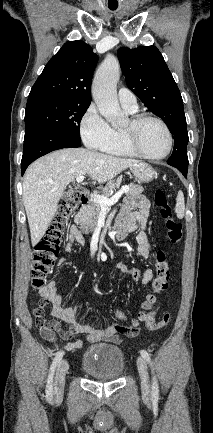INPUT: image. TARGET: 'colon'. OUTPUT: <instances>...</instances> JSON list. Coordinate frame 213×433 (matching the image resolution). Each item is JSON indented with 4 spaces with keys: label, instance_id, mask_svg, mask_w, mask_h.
<instances>
[{
    "label": "colon",
    "instance_id": "1",
    "mask_svg": "<svg viewBox=\"0 0 213 433\" xmlns=\"http://www.w3.org/2000/svg\"><path fill=\"white\" fill-rule=\"evenodd\" d=\"M86 198V193L82 191H71L59 206L56 218L46 235L36 244L32 262V285L34 288L40 289L45 286L46 279L59 252L65 223L68 217L81 208ZM154 203L164 220L167 238L174 244L178 243L182 238V226L173 218L171 207L163 190L155 192ZM169 277L170 271L166 256L164 252L158 251L156 254L155 279L152 284V293L147 297L144 309L139 316V320L145 322L149 330H159L167 326L171 320L170 313L164 314L158 322L152 316L159 295L168 289ZM47 306L48 302L42 300L34 309L36 323L40 328H47L50 323L45 316ZM123 315L122 311H117L115 318L121 320ZM119 331L126 337H134L137 334V327L135 324L127 328L120 327Z\"/></svg>",
    "mask_w": 213,
    "mask_h": 433
}]
</instances>
